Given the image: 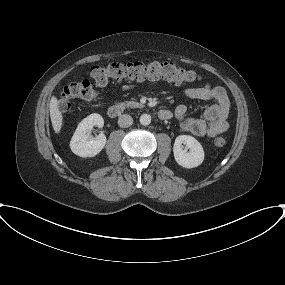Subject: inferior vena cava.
<instances>
[{
	"label": "inferior vena cava",
	"mask_w": 285,
	"mask_h": 285,
	"mask_svg": "<svg viewBox=\"0 0 285 285\" xmlns=\"http://www.w3.org/2000/svg\"><path fill=\"white\" fill-rule=\"evenodd\" d=\"M133 124V118L129 114H123L118 118V125L122 128L129 127Z\"/></svg>",
	"instance_id": "1"
}]
</instances>
